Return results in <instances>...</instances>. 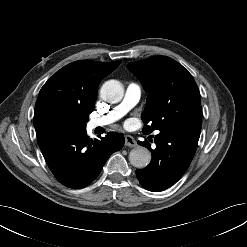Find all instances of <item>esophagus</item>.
Wrapping results in <instances>:
<instances>
[{"label": "esophagus", "mask_w": 247, "mask_h": 247, "mask_svg": "<svg viewBox=\"0 0 247 247\" xmlns=\"http://www.w3.org/2000/svg\"><path fill=\"white\" fill-rule=\"evenodd\" d=\"M125 145L128 147H136L137 142L135 141V139L132 136L126 135L125 136Z\"/></svg>", "instance_id": "esophagus-1"}]
</instances>
